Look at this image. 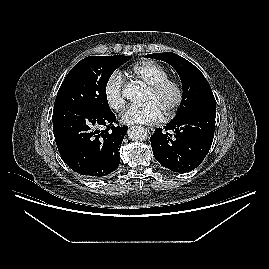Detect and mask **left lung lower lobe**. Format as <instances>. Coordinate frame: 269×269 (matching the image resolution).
<instances>
[{
    "instance_id": "0a47b994",
    "label": "left lung lower lobe",
    "mask_w": 269,
    "mask_h": 269,
    "mask_svg": "<svg viewBox=\"0 0 269 269\" xmlns=\"http://www.w3.org/2000/svg\"><path fill=\"white\" fill-rule=\"evenodd\" d=\"M215 117L216 104H203L165 127L173 134L156 129L150 140L157 161L179 173L198 167L211 148Z\"/></svg>"
}]
</instances>
